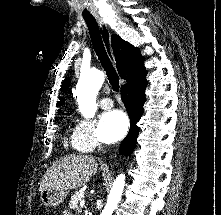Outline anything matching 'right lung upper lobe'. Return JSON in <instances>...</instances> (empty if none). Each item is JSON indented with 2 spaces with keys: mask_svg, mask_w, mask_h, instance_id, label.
I'll list each match as a JSON object with an SVG mask.
<instances>
[{
  "mask_svg": "<svg viewBox=\"0 0 221 215\" xmlns=\"http://www.w3.org/2000/svg\"><path fill=\"white\" fill-rule=\"evenodd\" d=\"M112 49L114 51L116 67L122 79L127 83L121 88L128 87L135 82L143 79L147 71L144 67V58L137 47H133L130 43L122 40L118 35H112ZM69 79L66 78L61 86V91H67L69 87ZM57 105H62L64 100L60 97Z\"/></svg>",
  "mask_w": 221,
  "mask_h": 215,
  "instance_id": "right-lung-upper-lobe-1",
  "label": "right lung upper lobe"
}]
</instances>
